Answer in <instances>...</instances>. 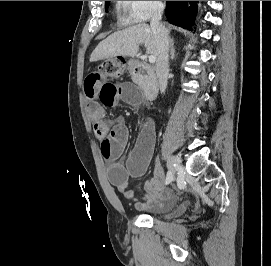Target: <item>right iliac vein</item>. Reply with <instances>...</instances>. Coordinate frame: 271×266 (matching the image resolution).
<instances>
[{
    "mask_svg": "<svg viewBox=\"0 0 271 266\" xmlns=\"http://www.w3.org/2000/svg\"><path fill=\"white\" fill-rule=\"evenodd\" d=\"M168 167L171 170V172L175 173L177 170L182 169L181 162L178 157L176 156H170L168 159Z\"/></svg>",
    "mask_w": 271,
    "mask_h": 266,
    "instance_id": "right-iliac-vein-1",
    "label": "right iliac vein"
}]
</instances>
